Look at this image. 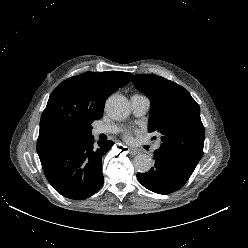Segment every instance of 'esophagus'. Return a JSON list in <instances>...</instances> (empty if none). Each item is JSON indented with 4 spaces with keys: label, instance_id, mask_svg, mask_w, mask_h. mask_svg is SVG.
I'll return each mask as SVG.
<instances>
[{
    "label": "esophagus",
    "instance_id": "obj_1",
    "mask_svg": "<svg viewBox=\"0 0 248 248\" xmlns=\"http://www.w3.org/2000/svg\"><path fill=\"white\" fill-rule=\"evenodd\" d=\"M128 151L131 155H136L137 153H139V151L134 148H129Z\"/></svg>",
    "mask_w": 248,
    "mask_h": 248
}]
</instances>
